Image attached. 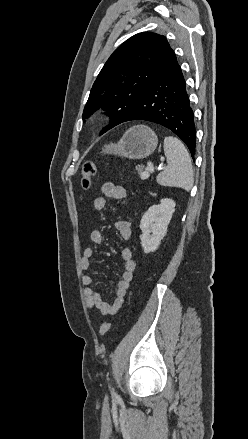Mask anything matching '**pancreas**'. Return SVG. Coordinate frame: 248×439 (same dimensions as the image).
I'll list each match as a JSON object with an SVG mask.
<instances>
[{
	"label": "pancreas",
	"instance_id": "1",
	"mask_svg": "<svg viewBox=\"0 0 248 439\" xmlns=\"http://www.w3.org/2000/svg\"><path fill=\"white\" fill-rule=\"evenodd\" d=\"M143 169H144V167L142 166V165H138V166H136V170L138 171V173H139V175H140V177L143 179V173H144V171H143Z\"/></svg>",
	"mask_w": 248,
	"mask_h": 439
}]
</instances>
